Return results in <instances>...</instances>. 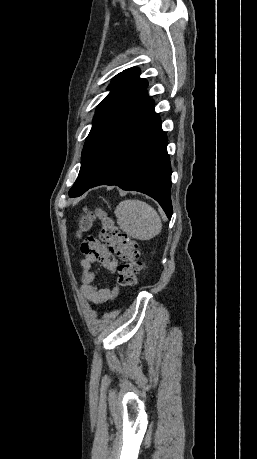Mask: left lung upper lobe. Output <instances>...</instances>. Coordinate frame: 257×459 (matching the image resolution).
Here are the masks:
<instances>
[{"instance_id":"left-lung-upper-lobe-1","label":"left lung upper lobe","mask_w":257,"mask_h":459,"mask_svg":"<svg viewBox=\"0 0 257 459\" xmlns=\"http://www.w3.org/2000/svg\"><path fill=\"white\" fill-rule=\"evenodd\" d=\"M139 69L129 68L113 78L108 86L112 91L98 105L92 129L82 151L79 175L69 191L70 197H78L93 183L101 163L102 142L106 133L135 104L147 88L145 79L139 78Z\"/></svg>"}]
</instances>
